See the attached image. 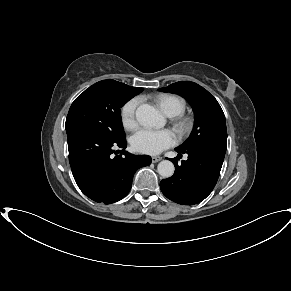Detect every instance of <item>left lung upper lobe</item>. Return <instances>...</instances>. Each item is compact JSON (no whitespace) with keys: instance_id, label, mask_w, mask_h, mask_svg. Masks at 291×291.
<instances>
[{"instance_id":"1","label":"left lung upper lobe","mask_w":291,"mask_h":291,"mask_svg":"<svg viewBox=\"0 0 291 291\" xmlns=\"http://www.w3.org/2000/svg\"><path fill=\"white\" fill-rule=\"evenodd\" d=\"M159 90L176 93L186 98L195 113V124L191 135L177 149L186 150L196 146L226 149L225 116L217 100L206 89L194 82L181 81Z\"/></svg>"}]
</instances>
